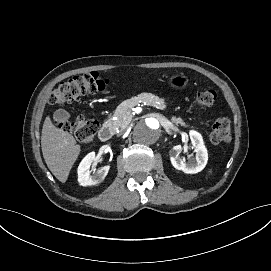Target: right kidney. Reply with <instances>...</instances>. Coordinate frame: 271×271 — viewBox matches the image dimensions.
Here are the masks:
<instances>
[{
  "label": "right kidney",
  "mask_w": 271,
  "mask_h": 271,
  "mask_svg": "<svg viewBox=\"0 0 271 271\" xmlns=\"http://www.w3.org/2000/svg\"><path fill=\"white\" fill-rule=\"evenodd\" d=\"M95 159V152L92 151L88 153L80 162L77 168V181L81 186H93L102 181L106 174L108 173V167H100L94 173L89 171L90 162H93Z\"/></svg>",
  "instance_id": "1"
}]
</instances>
